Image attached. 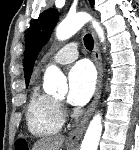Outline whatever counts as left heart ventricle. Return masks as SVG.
I'll use <instances>...</instances> for the list:
<instances>
[{"label": "left heart ventricle", "instance_id": "left-heart-ventricle-1", "mask_svg": "<svg viewBox=\"0 0 139 150\" xmlns=\"http://www.w3.org/2000/svg\"><path fill=\"white\" fill-rule=\"evenodd\" d=\"M64 97H65V95L62 94V95H59V96H58V99H64Z\"/></svg>", "mask_w": 139, "mask_h": 150}]
</instances>
